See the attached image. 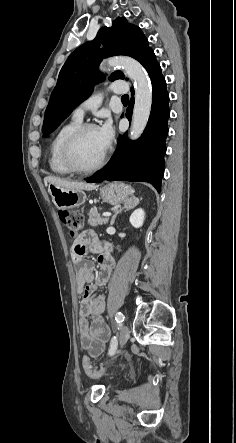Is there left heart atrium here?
I'll return each instance as SVG.
<instances>
[{
    "mask_svg": "<svg viewBox=\"0 0 236 443\" xmlns=\"http://www.w3.org/2000/svg\"><path fill=\"white\" fill-rule=\"evenodd\" d=\"M98 129L105 147L108 148L114 136L112 122L108 119Z\"/></svg>",
    "mask_w": 236,
    "mask_h": 443,
    "instance_id": "39dd6f15",
    "label": "left heart atrium"
}]
</instances>
